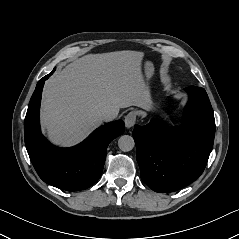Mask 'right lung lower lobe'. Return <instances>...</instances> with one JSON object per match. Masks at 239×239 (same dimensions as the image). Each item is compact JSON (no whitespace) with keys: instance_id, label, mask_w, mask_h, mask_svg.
<instances>
[{"instance_id":"1","label":"right lung lower lobe","mask_w":239,"mask_h":239,"mask_svg":"<svg viewBox=\"0 0 239 239\" xmlns=\"http://www.w3.org/2000/svg\"><path fill=\"white\" fill-rule=\"evenodd\" d=\"M39 80L25 117V144L39 177L49 185L67 190H84L102 174L109 143L124 133V122L118 120L97 128L87 139L71 148L50 144L41 134L39 109L45 80Z\"/></svg>"}]
</instances>
